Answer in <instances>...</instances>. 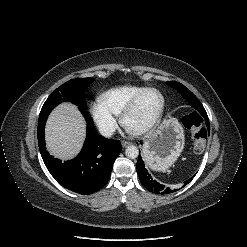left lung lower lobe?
Wrapping results in <instances>:
<instances>
[{"label": "left lung lower lobe", "instance_id": "0a47b994", "mask_svg": "<svg viewBox=\"0 0 247 247\" xmlns=\"http://www.w3.org/2000/svg\"><path fill=\"white\" fill-rule=\"evenodd\" d=\"M205 123L207 126V130L209 132L210 131V125H209V119L208 118H205ZM207 130L205 128H202V133L205 137L207 135ZM136 170H137V173L139 175L140 181L142 182L143 186L151 192L168 194V193H172V192L177 190V189L172 190L168 187H165L163 184L159 183L155 178H153L151 176V174L146 170L145 165H144V161H143L142 157L140 156V154H139V158L137 161ZM192 178L188 179L184 183L183 186L187 185L192 180Z\"/></svg>", "mask_w": 247, "mask_h": 247}]
</instances>
